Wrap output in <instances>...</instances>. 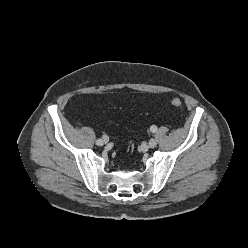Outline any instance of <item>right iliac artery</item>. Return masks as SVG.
Instances as JSON below:
<instances>
[{"label": "right iliac artery", "mask_w": 248, "mask_h": 248, "mask_svg": "<svg viewBox=\"0 0 248 248\" xmlns=\"http://www.w3.org/2000/svg\"><path fill=\"white\" fill-rule=\"evenodd\" d=\"M94 144H95V146L100 147V146H102L103 141H102V139L97 138V139H95Z\"/></svg>", "instance_id": "1"}]
</instances>
